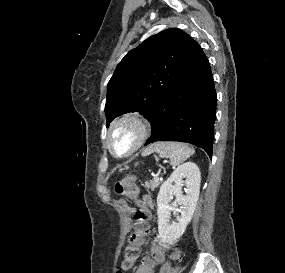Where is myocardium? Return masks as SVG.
Segmentation results:
<instances>
[{"instance_id": "myocardium-1", "label": "myocardium", "mask_w": 285, "mask_h": 273, "mask_svg": "<svg viewBox=\"0 0 285 273\" xmlns=\"http://www.w3.org/2000/svg\"><path fill=\"white\" fill-rule=\"evenodd\" d=\"M124 123H131L136 127L137 130V137L133 145L130 147L128 151L125 153L119 154L115 152L112 145V136L116 129L124 124ZM151 132V126L149 121L142 115L136 112H127L118 117H116L109 125L105 137V143L108 151L111 155L117 158H127L133 155L137 150H139L146 140L149 138Z\"/></svg>"}]
</instances>
